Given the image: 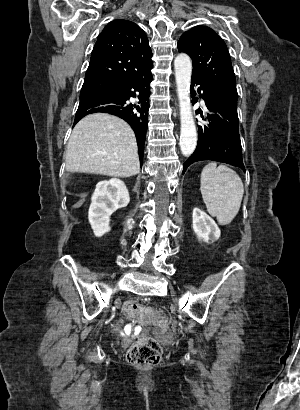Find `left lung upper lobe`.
Wrapping results in <instances>:
<instances>
[{
  "instance_id": "left-lung-upper-lobe-1",
  "label": "left lung upper lobe",
  "mask_w": 300,
  "mask_h": 410,
  "mask_svg": "<svg viewBox=\"0 0 300 410\" xmlns=\"http://www.w3.org/2000/svg\"><path fill=\"white\" fill-rule=\"evenodd\" d=\"M178 50L193 61L192 77L200 79L230 98L238 100L236 78L225 42L207 26H196L182 34Z\"/></svg>"
}]
</instances>
